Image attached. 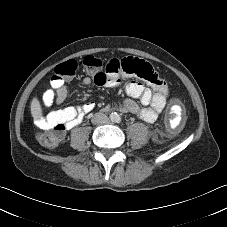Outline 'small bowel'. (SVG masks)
<instances>
[{"label": "small bowel", "instance_id": "small-bowel-1", "mask_svg": "<svg viewBox=\"0 0 227 227\" xmlns=\"http://www.w3.org/2000/svg\"><path fill=\"white\" fill-rule=\"evenodd\" d=\"M122 64L121 60H117ZM106 80L103 84L107 86H114L118 84L119 76L110 78V73L104 71ZM147 85L138 82H129L124 86L125 93L137 99L143 107L132 100L127 99L121 103L119 109L123 112L135 114L146 122H154L161 111L164 109L168 99V85L166 80L162 79L158 73L154 70L152 80L143 79ZM94 78L85 77L83 79L84 85H90ZM96 83V82H95ZM97 84V83H96ZM67 98V89L64 86L58 88L52 87L48 89L42 97V102L45 107H51L53 105H61ZM95 107V103L89 101L80 107L68 106L65 108L51 111L46 116H41L36 119V124L40 128L49 129L57 124H62L66 130L72 129L77 126L82 120V114L92 111ZM110 105L104 107V111H109Z\"/></svg>", "mask_w": 227, "mask_h": 227}]
</instances>
